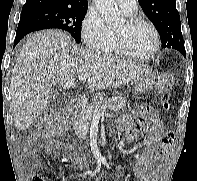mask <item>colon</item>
<instances>
[{"label": "colon", "instance_id": "1", "mask_svg": "<svg viewBox=\"0 0 197 181\" xmlns=\"http://www.w3.org/2000/svg\"><path fill=\"white\" fill-rule=\"evenodd\" d=\"M172 85V77L170 74H162L157 83V93L164 109L169 108L168 99ZM67 120L64 115H45L40 123V130L45 136H55L64 132ZM44 181L43 177H41Z\"/></svg>", "mask_w": 197, "mask_h": 181}]
</instances>
